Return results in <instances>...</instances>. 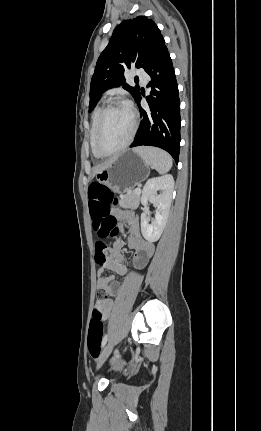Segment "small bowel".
I'll use <instances>...</instances> for the list:
<instances>
[{"label":"small bowel","mask_w":261,"mask_h":431,"mask_svg":"<svg viewBox=\"0 0 261 431\" xmlns=\"http://www.w3.org/2000/svg\"><path fill=\"white\" fill-rule=\"evenodd\" d=\"M117 218L121 222H125L130 231L127 238V245L135 253L134 265L136 268H143L148 263L153 255L154 246L141 236L139 218L130 211H120L117 213ZM123 243L117 239L113 242L114 256L103 265H99L97 288L104 291L109 296H116L119 294L120 285L113 277H105L104 270L108 269L115 272L119 276L127 274V267L125 265V258L123 256ZM114 301L109 298L106 302L101 304V314L103 321H106L111 313Z\"/></svg>","instance_id":"obj_1"}]
</instances>
